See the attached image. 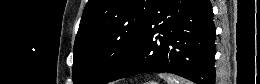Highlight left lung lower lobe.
<instances>
[{
  "mask_svg": "<svg viewBox=\"0 0 260 84\" xmlns=\"http://www.w3.org/2000/svg\"><path fill=\"white\" fill-rule=\"evenodd\" d=\"M212 15L209 0H156L133 51L108 82L162 71L197 84H214Z\"/></svg>",
  "mask_w": 260,
  "mask_h": 84,
  "instance_id": "left-lung-lower-lobe-1",
  "label": "left lung lower lobe"
}]
</instances>
